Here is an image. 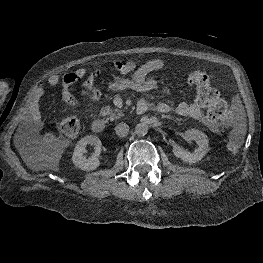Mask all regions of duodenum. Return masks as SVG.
I'll list each match as a JSON object with an SVG mask.
<instances>
[{"mask_svg": "<svg viewBox=\"0 0 263 263\" xmlns=\"http://www.w3.org/2000/svg\"><path fill=\"white\" fill-rule=\"evenodd\" d=\"M148 105L144 102H139L136 107V113L137 114H143L148 110ZM91 129L96 134H101L106 129V123L102 119H95L91 124Z\"/></svg>", "mask_w": 263, "mask_h": 263, "instance_id": "obj_1", "label": "duodenum"}]
</instances>
